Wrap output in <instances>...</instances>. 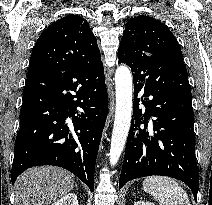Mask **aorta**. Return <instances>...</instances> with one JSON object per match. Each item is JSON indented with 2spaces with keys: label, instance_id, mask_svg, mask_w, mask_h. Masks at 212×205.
I'll return each mask as SVG.
<instances>
[{
  "label": "aorta",
  "instance_id": "aorta-1",
  "mask_svg": "<svg viewBox=\"0 0 212 205\" xmlns=\"http://www.w3.org/2000/svg\"><path fill=\"white\" fill-rule=\"evenodd\" d=\"M116 111L110 145V164L118 162L129 133L132 116V74L127 66H120L115 73Z\"/></svg>",
  "mask_w": 212,
  "mask_h": 205
}]
</instances>
